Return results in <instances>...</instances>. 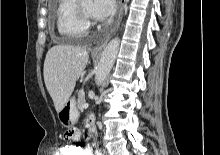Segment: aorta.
I'll list each match as a JSON object with an SVG mask.
<instances>
[{"label": "aorta", "mask_w": 220, "mask_h": 155, "mask_svg": "<svg viewBox=\"0 0 220 155\" xmlns=\"http://www.w3.org/2000/svg\"><path fill=\"white\" fill-rule=\"evenodd\" d=\"M119 46L120 40L114 38L104 48L95 75L97 86H101L104 83L106 77L111 71L119 51Z\"/></svg>", "instance_id": "1"}]
</instances>
